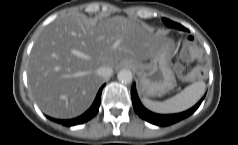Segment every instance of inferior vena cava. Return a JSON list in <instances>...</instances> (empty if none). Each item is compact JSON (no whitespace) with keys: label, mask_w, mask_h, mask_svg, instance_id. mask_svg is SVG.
I'll use <instances>...</instances> for the list:
<instances>
[{"label":"inferior vena cava","mask_w":238,"mask_h":145,"mask_svg":"<svg viewBox=\"0 0 238 145\" xmlns=\"http://www.w3.org/2000/svg\"><path fill=\"white\" fill-rule=\"evenodd\" d=\"M112 72L113 71L110 67H105V66L99 67L96 70V73L104 79L109 78L112 75Z\"/></svg>","instance_id":"602c4592"}]
</instances>
